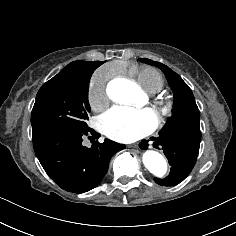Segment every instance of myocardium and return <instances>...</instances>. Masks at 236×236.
Returning <instances> with one entry per match:
<instances>
[{
	"label": "myocardium",
	"mask_w": 236,
	"mask_h": 236,
	"mask_svg": "<svg viewBox=\"0 0 236 236\" xmlns=\"http://www.w3.org/2000/svg\"><path fill=\"white\" fill-rule=\"evenodd\" d=\"M153 108L156 114V126L164 127L168 123L172 115V110H173L172 102L168 99L161 98V99H158L153 104Z\"/></svg>",
	"instance_id": "obj_1"
}]
</instances>
